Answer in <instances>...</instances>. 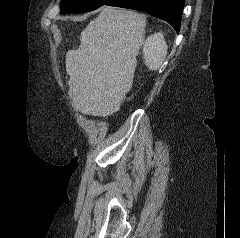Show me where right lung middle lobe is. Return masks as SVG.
Here are the masks:
<instances>
[{"instance_id":"right-lung-middle-lobe-1","label":"right lung middle lobe","mask_w":240,"mask_h":238,"mask_svg":"<svg viewBox=\"0 0 240 238\" xmlns=\"http://www.w3.org/2000/svg\"><path fill=\"white\" fill-rule=\"evenodd\" d=\"M112 0H61V13H81L107 5Z\"/></svg>"}]
</instances>
